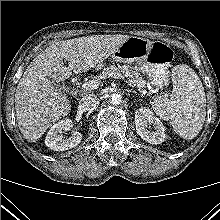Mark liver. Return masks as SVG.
<instances>
[{
  "label": "liver",
  "mask_w": 220,
  "mask_h": 220,
  "mask_svg": "<svg viewBox=\"0 0 220 220\" xmlns=\"http://www.w3.org/2000/svg\"><path fill=\"white\" fill-rule=\"evenodd\" d=\"M127 35H93L58 41L29 64L15 93L16 119L28 142H36L72 108L67 96L54 85L73 73H83L110 57ZM63 61H68V66ZM50 79L54 80L51 81Z\"/></svg>",
  "instance_id": "obj_1"
}]
</instances>
